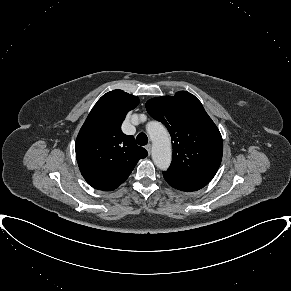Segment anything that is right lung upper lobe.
<instances>
[{
  "label": "right lung upper lobe",
  "instance_id": "1",
  "mask_svg": "<svg viewBox=\"0 0 291 291\" xmlns=\"http://www.w3.org/2000/svg\"><path fill=\"white\" fill-rule=\"evenodd\" d=\"M139 99L122 90L103 95L89 113L76 139V158L84 179L95 189L112 191L148 152L121 131L126 114Z\"/></svg>",
  "mask_w": 291,
  "mask_h": 291
}]
</instances>
